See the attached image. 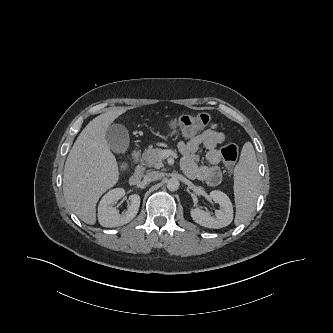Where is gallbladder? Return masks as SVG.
Wrapping results in <instances>:
<instances>
[{
  "label": "gallbladder",
  "instance_id": "gallbladder-1",
  "mask_svg": "<svg viewBox=\"0 0 333 333\" xmlns=\"http://www.w3.org/2000/svg\"><path fill=\"white\" fill-rule=\"evenodd\" d=\"M109 148L117 154L124 153L129 147V133L121 124L110 125L105 133Z\"/></svg>",
  "mask_w": 333,
  "mask_h": 333
}]
</instances>
